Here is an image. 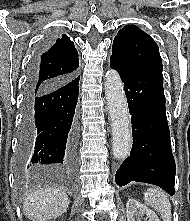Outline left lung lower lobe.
Masks as SVG:
<instances>
[{
  "mask_svg": "<svg viewBox=\"0 0 190 221\" xmlns=\"http://www.w3.org/2000/svg\"><path fill=\"white\" fill-rule=\"evenodd\" d=\"M110 65L124 83L133 135L130 156L117 170L115 181L119 186L131 181L154 184L173 195L176 166L166 117L163 77L125 67L112 58Z\"/></svg>",
  "mask_w": 190,
  "mask_h": 221,
  "instance_id": "obj_1",
  "label": "left lung lower lobe"
}]
</instances>
